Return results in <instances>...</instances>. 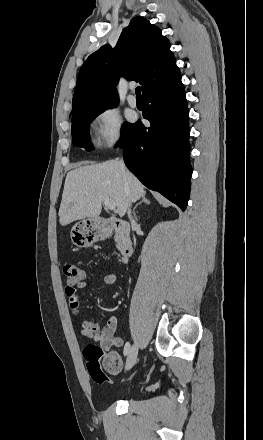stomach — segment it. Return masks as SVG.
Segmentation results:
<instances>
[{"label": "stomach", "mask_w": 263, "mask_h": 440, "mask_svg": "<svg viewBox=\"0 0 263 440\" xmlns=\"http://www.w3.org/2000/svg\"><path fill=\"white\" fill-rule=\"evenodd\" d=\"M71 236L80 245H89L99 239L101 234L94 218L82 219L72 228Z\"/></svg>", "instance_id": "obj_1"}]
</instances>
